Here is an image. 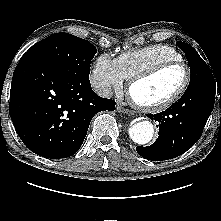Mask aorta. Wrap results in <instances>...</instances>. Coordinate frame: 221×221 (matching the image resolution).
<instances>
[{"mask_svg":"<svg viewBox=\"0 0 221 221\" xmlns=\"http://www.w3.org/2000/svg\"><path fill=\"white\" fill-rule=\"evenodd\" d=\"M131 139L137 144L149 143L154 135V126L150 121H139L129 129Z\"/></svg>","mask_w":221,"mask_h":221,"instance_id":"762f6f07","label":"aorta"}]
</instances>
